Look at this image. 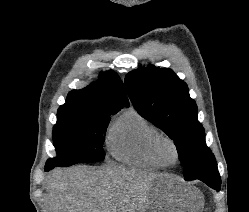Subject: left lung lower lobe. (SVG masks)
<instances>
[{"instance_id":"0a47b994","label":"left lung lower lobe","mask_w":249,"mask_h":212,"mask_svg":"<svg viewBox=\"0 0 249 212\" xmlns=\"http://www.w3.org/2000/svg\"><path fill=\"white\" fill-rule=\"evenodd\" d=\"M186 181H190L189 179H185ZM202 182L207 184L209 187L219 191L220 185H221V179L220 176L217 177H206V178H200Z\"/></svg>"}]
</instances>
